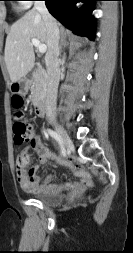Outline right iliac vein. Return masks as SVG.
<instances>
[{"instance_id":"right-iliac-vein-1","label":"right iliac vein","mask_w":133,"mask_h":253,"mask_svg":"<svg viewBox=\"0 0 133 253\" xmlns=\"http://www.w3.org/2000/svg\"><path fill=\"white\" fill-rule=\"evenodd\" d=\"M53 125L55 126L57 133L60 135L62 139L63 146L65 148H70L72 145V142H71L70 137L66 133V131L55 121H53Z\"/></svg>"}]
</instances>
